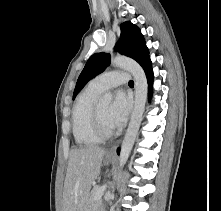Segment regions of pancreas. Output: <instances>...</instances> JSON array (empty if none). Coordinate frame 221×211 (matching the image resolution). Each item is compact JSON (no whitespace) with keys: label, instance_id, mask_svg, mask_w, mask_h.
Listing matches in <instances>:
<instances>
[{"label":"pancreas","instance_id":"pancreas-1","mask_svg":"<svg viewBox=\"0 0 221 211\" xmlns=\"http://www.w3.org/2000/svg\"><path fill=\"white\" fill-rule=\"evenodd\" d=\"M97 190L98 189L94 188L88 193L84 203V211H98L101 199L95 200L94 198Z\"/></svg>","mask_w":221,"mask_h":211}]
</instances>
